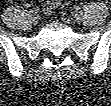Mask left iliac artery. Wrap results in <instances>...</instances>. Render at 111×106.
I'll return each mask as SVG.
<instances>
[{"instance_id": "44dca946", "label": "left iliac artery", "mask_w": 111, "mask_h": 106, "mask_svg": "<svg viewBox=\"0 0 111 106\" xmlns=\"http://www.w3.org/2000/svg\"><path fill=\"white\" fill-rule=\"evenodd\" d=\"M74 8H75V10H79V9H80V7H79V6H75Z\"/></svg>"}]
</instances>
